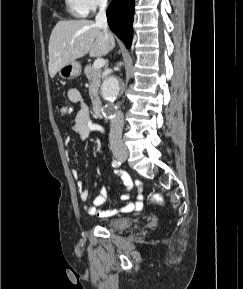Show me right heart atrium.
<instances>
[{
	"label": "right heart atrium",
	"mask_w": 243,
	"mask_h": 289,
	"mask_svg": "<svg viewBox=\"0 0 243 289\" xmlns=\"http://www.w3.org/2000/svg\"><path fill=\"white\" fill-rule=\"evenodd\" d=\"M70 9L81 15H88L104 7L108 0H66Z\"/></svg>",
	"instance_id": "right-heart-atrium-1"
}]
</instances>
